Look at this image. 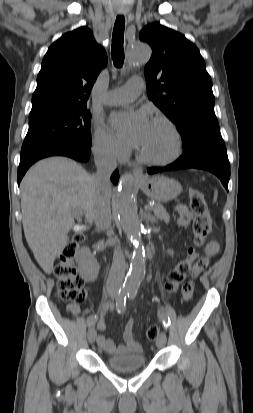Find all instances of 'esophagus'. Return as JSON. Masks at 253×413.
Segmentation results:
<instances>
[{
  "label": "esophagus",
  "instance_id": "esophagus-1",
  "mask_svg": "<svg viewBox=\"0 0 253 413\" xmlns=\"http://www.w3.org/2000/svg\"><path fill=\"white\" fill-rule=\"evenodd\" d=\"M133 175L137 179H143L144 178L143 169L141 167H138V166L134 167Z\"/></svg>",
  "mask_w": 253,
  "mask_h": 413
}]
</instances>
